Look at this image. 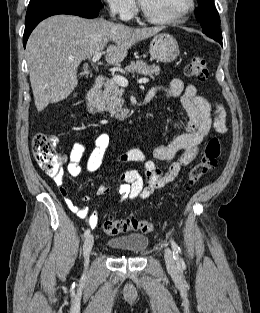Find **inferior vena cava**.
I'll return each instance as SVG.
<instances>
[{"label":"inferior vena cava","mask_w":260,"mask_h":313,"mask_svg":"<svg viewBox=\"0 0 260 313\" xmlns=\"http://www.w3.org/2000/svg\"><path fill=\"white\" fill-rule=\"evenodd\" d=\"M115 13H116L115 10H112V11H111V15H112L113 17L115 16Z\"/></svg>","instance_id":"602c4592"}]
</instances>
